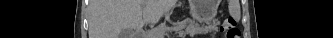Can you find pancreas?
<instances>
[{
    "instance_id": "1",
    "label": "pancreas",
    "mask_w": 333,
    "mask_h": 38,
    "mask_svg": "<svg viewBox=\"0 0 333 38\" xmlns=\"http://www.w3.org/2000/svg\"><path fill=\"white\" fill-rule=\"evenodd\" d=\"M179 28H180V29L186 28V29H185V32H186V33L194 32V26H193L192 24H190V25H188V26H186V27H185V24H181V25L179 26ZM160 31H161V27H158V28L155 29V30H151V31L149 32V36H150V37H156V36H159Z\"/></svg>"
}]
</instances>
